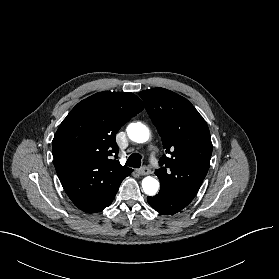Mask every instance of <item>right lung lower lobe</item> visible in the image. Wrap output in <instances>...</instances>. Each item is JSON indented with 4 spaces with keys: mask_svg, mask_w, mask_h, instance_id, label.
Instances as JSON below:
<instances>
[{
    "mask_svg": "<svg viewBox=\"0 0 279 279\" xmlns=\"http://www.w3.org/2000/svg\"><path fill=\"white\" fill-rule=\"evenodd\" d=\"M116 194V193H115ZM114 197H115V195H114ZM114 197L112 198V200L108 203V205L107 206H109L111 203H112V201H113V199H114ZM106 206V207H107Z\"/></svg>",
    "mask_w": 279,
    "mask_h": 279,
    "instance_id": "1",
    "label": "right lung lower lobe"
}]
</instances>
